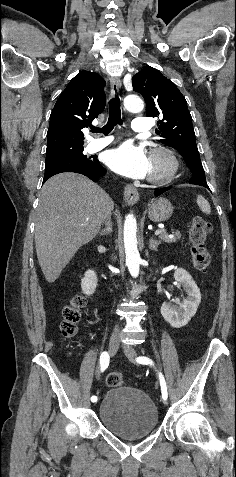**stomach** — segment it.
<instances>
[{
  "label": "stomach",
  "mask_w": 236,
  "mask_h": 477,
  "mask_svg": "<svg viewBox=\"0 0 236 477\" xmlns=\"http://www.w3.org/2000/svg\"><path fill=\"white\" fill-rule=\"evenodd\" d=\"M173 212V206L166 198L154 200L148 207V215L153 222H164L168 220Z\"/></svg>",
  "instance_id": "0dacf381"
}]
</instances>
